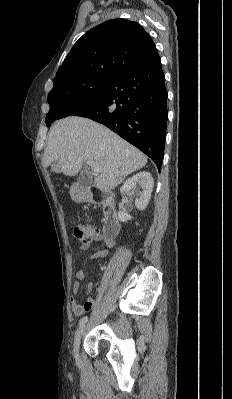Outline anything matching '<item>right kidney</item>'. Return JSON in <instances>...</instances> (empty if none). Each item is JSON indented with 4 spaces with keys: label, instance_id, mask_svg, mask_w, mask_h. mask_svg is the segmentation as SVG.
<instances>
[{
    "label": "right kidney",
    "instance_id": "1",
    "mask_svg": "<svg viewBox=\"0 0 232 399\" xmlns=\"http://www.w3.org/2000/svg\"><path fill=\"white\" fill-rule=\"evenodd\" d=\"M153 186L154 180L149 172H138V174L126 180L120 192L121 194L135 196L134 201L137 209H145L150 201ZM118 217L120 221H128L132 215L125 213V211H118Z\"/></svg>",
    "mask_w": 232,
    "mask_h": 399
}]
</instances>
